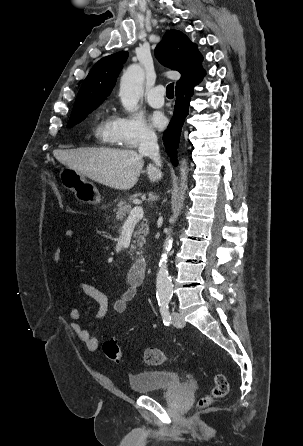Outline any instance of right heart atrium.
I'll return each mask as SVG.
<instances>
[{"instance_id": "1", "label": "right heart atrium", "mask_w": 303, "mask_h": 446, "mask_svg": "<svg viewBox=\"0 0 303 446\" xmlns=\"http://www.w3.org/2000/svg\"><path fill=\"white\" fill-rule=\"evenodd\" d=\"M113 133L116 143L125 148H137L156 141L155 132L140 114L115 117Z\"/></svg>"}]
</instances>
